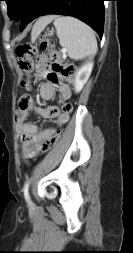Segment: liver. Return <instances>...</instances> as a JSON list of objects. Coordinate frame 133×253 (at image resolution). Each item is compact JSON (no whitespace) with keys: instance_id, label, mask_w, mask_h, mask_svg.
Instances as JSON below:
<instances>
[{"instance_id":"obj_1","label":"liver","mask_w":133,"mask_h":253,"mask_svg":"<svg viewBox=\"0 0 133 253\" xmlns=\"http://www.w3.org/2000/svg\"><path fill=\"white\" fill-rule=\"evenodd\" d=\"M55 15H47L37 20L32 28V38H37L38 35L44 30V28L53 21Z\"/></svg>"}]
</instances>
